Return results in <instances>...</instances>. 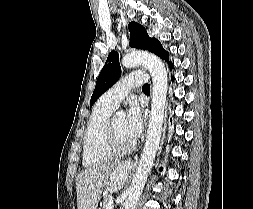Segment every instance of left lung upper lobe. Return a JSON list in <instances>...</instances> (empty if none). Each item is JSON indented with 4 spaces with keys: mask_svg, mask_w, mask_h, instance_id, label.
Returning <instances> with one entry per match:
<instances>
[{
    "mask_svg": "<svg viewBox=\"0 0 253 209\" xmlns=\"http://www.w3.org/2000/svg\"><path fill=\"white\" fill-rule=\"evenodd\" d=\"M128 28L130 31L131 47L151 51L166 62L168 61V52L164 50L161 43L156 38H150L148 36L146 29L142 25L131 22ZM170 63L171 62H168V64ZM120 75L121 67L119 64V55L116 51H112L97 78L96 86L90 100V106L118 81Z\"/></svg>",
    "mask_w": 253,
    "mask_h": 209,
    "instance_id": "left-lung-upper-lobe-1",
    "label": "left lung upper lobe"
}]
</instances>
